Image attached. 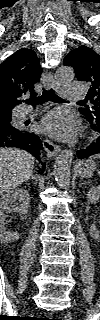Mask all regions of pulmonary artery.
<instances>
[{
    "label": "pulmonary artery",
    "instance_id": "1",
    "mask_svg": "<svg viewBox=\"0 0 100 320\" xmlns=\"http://www.w3.org/2000/svg\"><path fill=\"white\" fill-rule=\"evenodd\" d=\"M86 95V89L80 83H72L66 86L65 97L69 101H76L83 99ZM29 110L24 112V115H27Z\"/></svg>",
    "mask_w": 100,
    "mask_h": 320
}]
</instances>
